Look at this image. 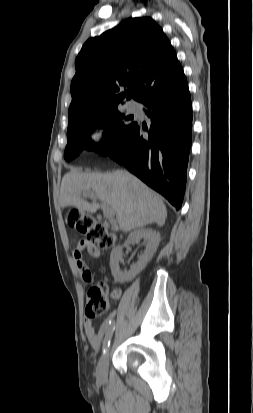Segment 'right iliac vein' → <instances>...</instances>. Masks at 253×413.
Returning <instances> with one entry per match:
<instances>
[{
  "instance_id": "obj_1",
  "label": "right iliac vein",
  "mask_w": 253,
  "mask_h": 413,
  "mask_svg": "<svg viewBox=\"0 0 253 413\" xmlns=\"http://www.w3.org/2000/svg\"><path fill=\"white\" fill-rule=\"evenodd\" d=\"M108 358L109 350H107L106 353L100 358L96 368L97 378L101 381H104L107 378Z\"/></svg>"
}]
</instances>
